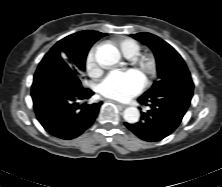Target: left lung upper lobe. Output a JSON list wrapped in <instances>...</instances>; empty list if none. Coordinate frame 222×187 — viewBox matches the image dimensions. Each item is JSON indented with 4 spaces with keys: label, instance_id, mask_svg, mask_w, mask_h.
<instances>
[{
    "label": "left lung upper lobe",
    "instance_id": "left-lung-upper-lobe-1",
    "mask_svg": "<svg viewBox=\"0 0 222 187\" xmlns=\"http://www.w3.org/2000/svg\"><path fill=\"white\" fill-rule=\"evenodd\" d=\"M132 36L150 47L157 62V81L143 95H156L168 92L169 99L180 96L182 84L192 81L190 72L179 53L167 42L151 33L142 32Z\"/></svg>",
    "mask_w": 222,
    "mask_h": 187
}]
</instances>
